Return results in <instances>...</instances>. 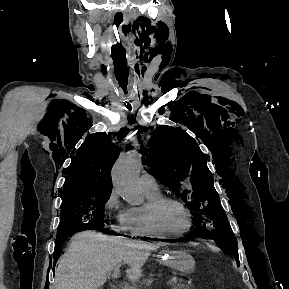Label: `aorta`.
Here are the masks:
<instances>
[{"mask_svg":"<svg viewBox=\"0 0 289 289\" xmlns=\"http://www.w3.org/2000/svg\"><path fill=\"white\" fill-rule=\"evenodd\" d=\"M140 167L141 156L132 150L121 155L112 170L114 188L130 205H140L144 199L138 182Z\"/></svg>","mask_w":289,"mask_h":289,"instance_id":"obj_1","label":"aorta"}]
</instances>
